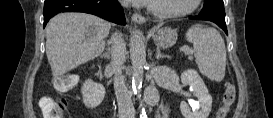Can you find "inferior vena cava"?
I'll use <instances>...</instances> for the list:
<instances>
[{"mask_svg":"<svg viewBox=\"0 0 273 118\" xmlns=\"http://www.w3.org/2000/svg\"><path fill=\"white\" fill-rule=\"evenodd\" d=\"M112 59L110 69L114 73V90L118 102L120 118H134L135 110L130 93L122 76V67L125 62L126 45L121 34L115 33L111 38Z\"/></svg>","mask_w":273,"mask_h":118,"instance_id":"inferior-vena-cava-1","label":"inferior vena cava"}]
</instances>
